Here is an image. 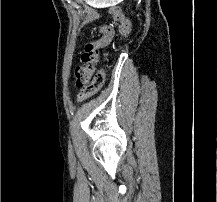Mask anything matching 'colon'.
I'll list each match as a JSON object with an SVG mask.
<instances>
[{
  "mask_svg": "<svg viewBox=\"0 0 217 202\" xmlns=\"http://www.w3.org/2000/svg\"><path fill=\"white\" fill-rule=\"evenodd\" d=\"M115 20V30L108 25L101 27L100 38L97 41H89L83 47L81 52V61L83 62V65L77 67L75 70L76 84L78 87L80 85L83 87L81 92L77 95V100L79 102L95 95L103 85V69L97 70L98 72L95 74V80L90 83L91 85L89 87L86 85L89 76H91V73H94L93 71L95 70L94 65L97 62L98 49L106 48L113 38H116L119 35H127L130 31V24L121 15L118 14L115 17Z\"/></svg>",
  "mask_w": 217,
  "mask_h": 202,
  "instance_id": "colon-1",
  "label": "colon"
}]
</instances>
